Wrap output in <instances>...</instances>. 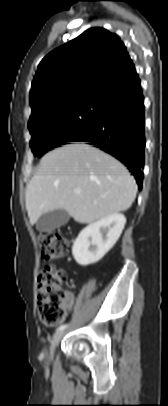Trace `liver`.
<instances>
[{"instance_id":"obj_1","label":"liver","mask_w":168,"mask_h":406,"mask_svg":"<svg viewBox=\"0 0 168 406\" xmlns=\"http://www.w3.org/2000/svg\"><path fill=\"white\" fill-rule=\"evenodd\" d=\"M81 193L76 194L75 189ZM135 179L118 160L84 143L47 153L27 185L26 210L35 224L44 213L63 209L86 224L126 211L135 200Z\"/></svg>"}]
</instances>
